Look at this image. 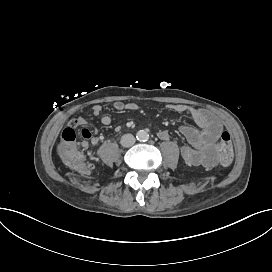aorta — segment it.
I'll return each mask as SVG.
<instances>
[{"label": "aorta", "instance_id": "762f6f07", "mask_svg": "<svg viewBox=\"0 0 272 272\" xmlns=\"http://www.w3.org/2000/svg\"><path fill=\"white\" fill-rule=\"evenodd\" d=\"M137 139L140 141L146 140L147 139V134L145 131H138L137 132Z\"/></svg>", "mask_w": 272, "mask_h": 272}]
</instances>
